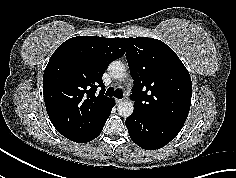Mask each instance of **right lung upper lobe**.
Wrapping results in <instances>:
<instances>
[{
  "label": "right lung upper lobe",
  "mask_w": 236,
  "mask_h": 178,
  "mask_svg": "<svg viewBox=\"0 0 236 178\" xmlns=\"http://www.w3.org/2000/svg\"><path fill=\"white\" fill-rule=\"evenodd\" d=\"M124 53L123 38L96 36L70 38L53 53L44 71L43 95L48 116L64 137L86 136L107 118L115 101L104 95L102 76Z\"/></svg>",
  "instance_id": "cb5924a9"
}]
</instances>
